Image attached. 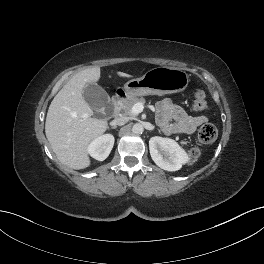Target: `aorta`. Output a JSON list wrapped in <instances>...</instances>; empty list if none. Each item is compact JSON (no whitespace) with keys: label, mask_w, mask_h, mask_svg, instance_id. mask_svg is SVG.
<instances>
[{"label":"aorta","mask_w":264,"mask_h":264,"mask_svg":"<svg viewBox=\"0 0 264 264\" xmlns=\"http://www.w3.org/2000/svg\"><path fill=\"white\" fill-rule=\"evenodd\" d=\"M143 131H144V128H143V126H142L141 124H139V123L134 124L133 127H132V132H133L134 134H142Z\"/></svg>","instance_id":"1"}]
</instances>
